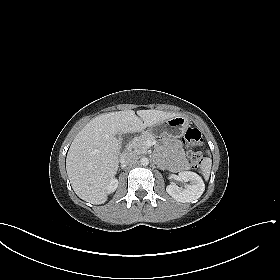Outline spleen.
<instances>
[{
	"instance_id": "3e777b00",
	"label": "spleen",
	"mask_w": 280,
	"mask_h": 280,
	"mask_svg": "<svg viewBox=\"0 0 280 280\" xmlns=\"http://www.w3.org/2000/svg\"><path fill=\"white\" fill-rule=\"evenodd\" d=\"M211 166H212V160L211 158H205L203 159L202 163H201V169H202V173L203 176L208 179L209 175H210V171H211Z\"/></svg>"
}]
</instances>
